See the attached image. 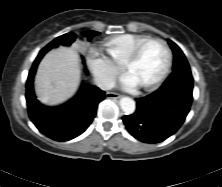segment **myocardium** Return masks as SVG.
<instances>
[{
	"label": "myocardium",
	"mask_w": 222,
	"mask_h": 187,
	"mask_svg": "<svg viewBox=\"0 0 222 187\" xmlns=\"http://www.w3.org/2000/svg\"><path fill=\"white\" fill-rule=\"evenodd\" d=\"M153 42H157L163 45L166 51L167 59H166V64H165L163 72L156 80L147 84L139 85L141 88L146 89V90L155 89L158 86H160L169 74V71L172 65L173 55H172V51L168 43L161 38H147L146 40L142 41L140 44H138L134 48V50L130 53V55L127 57V59L124 61L122 65L124 72L128 73L129 68L139 59L143 49L148 44L153 43Z\"/></svg>",
	"instance_id": "myocardium-1"
}]
</instances>
